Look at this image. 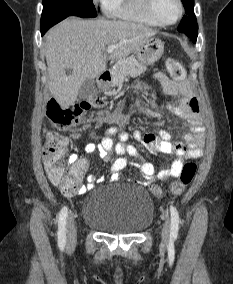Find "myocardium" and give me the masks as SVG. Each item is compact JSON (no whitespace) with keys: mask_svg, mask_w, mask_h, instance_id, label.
<instances>
[{"mask_svg":"<svg viewBox=\"0 0 233 284\" xmlns=\"http://www.w3.org/2000/svg\"><path fill=\"white\" fill-rule=\"evenodd\" d=\"M176 3L178 5V15L175 18V20L171 22H165L160 19V17L157 15L156 10H155V0H145V8L148 14L151 16V18L160 26H171L176 24L183 16L184 12V6L182 3V0H176Z\"/></svg>","mask_w":233,"mask_h":284,"instance_id":"f54148a6","label":"myocardium"}]
</instances>
